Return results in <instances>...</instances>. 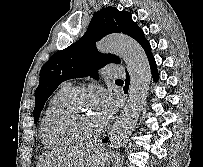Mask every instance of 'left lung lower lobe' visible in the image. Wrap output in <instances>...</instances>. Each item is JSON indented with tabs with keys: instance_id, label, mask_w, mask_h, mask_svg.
<instances>
[{
	"instance_id": "left-lung-lower-lobe-1",
	"label": "left lung lower lobe",
	"mask_w": 203,
	"mask_h": 167,
	"mask_svg": "<svg viewBox=\"0 0 203 167\" xmlns=\"http://www.w3.org/2000/svg\"><path fill=\"white\" fill-rule=\"evenodd\" d=\"M142 47L145 50V53H146L147 58L149 60L153 80L156 82L159 79V74L157 71L155 59L151 53V46H150L149 42L147 41L142 45ZM128 81H129V79H128V75H127V81L126 82H128ZM107 141H108V138H105L102 140V142H107Z\"/></svg>"
}]
</instances>
